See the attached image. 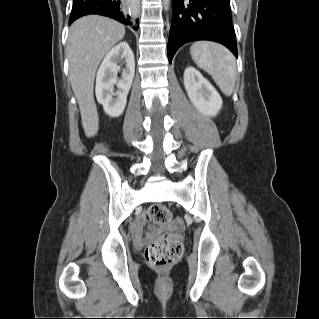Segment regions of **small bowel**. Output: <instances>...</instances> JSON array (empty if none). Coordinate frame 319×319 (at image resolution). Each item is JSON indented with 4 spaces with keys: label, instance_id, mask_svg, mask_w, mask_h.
<instances>
[{
    "label": "small bowel",
    "instance_id": "c3829d8e",
    "mask_svg": "<svg viewBox=\"0 0 319 319\" xmlns=\"http://www.w3.org/2000/svg\"><path fill=\"white\" fill-rule=\"evenodd\" d=\"M147 226V220L145 217L138 218L131 227L132 235L135 239H141L143 230ZM170 229L173 231H182V225L179 219H176L172 222ZM160 230L159 226L151 229L150 234L147 236V239L152 238Z\"/></svg>",
    "mask_w": 319,
    "mask_h": 319
}]
</instances>
